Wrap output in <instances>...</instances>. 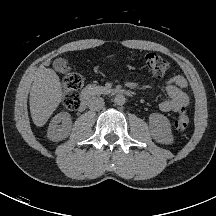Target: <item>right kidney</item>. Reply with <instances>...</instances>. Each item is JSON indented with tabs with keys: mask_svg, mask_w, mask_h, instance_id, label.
Returning <instances> with one entry per match:
<instances>
[{
	"mask_svg": "<svg viewBox=\"0 0 216 216\" xmlns=\"http://www.w3.org/2000/svg\"><path fill=\"white\" fill-rule=\"evenodd\" d=\"M61 123V125H59ZM72 127L71 116L61 112L53 117L48 127L47 137L52 141H60L69 136Z\"/></svg>",
	"mask_w": 216,
	"mask_h": 216,
	"instance_id": "obj_1",
	"label": "right kidney"
}]
</instances>
